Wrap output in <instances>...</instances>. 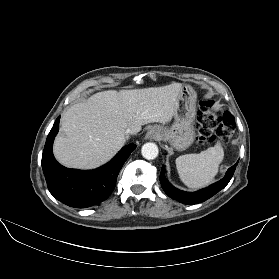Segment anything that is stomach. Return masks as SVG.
<instances>
[{"instance_id": "0dacf381", "label": "stomach", "mask_w": 279, "mask_h": 279, "mask_svg": "<svg viewBox=\"0 0 279 279\" xmlns=\"http://www.w3.org/2000/svg\"><path fill=\"white\" fill-rule=\"evenodd\" d=\"M196 92L190 85H182L171 127L159 126L158 138L169 142L176 150H185L195 139L193 122L196 115Z\"/></svg>"}]
</instances>
